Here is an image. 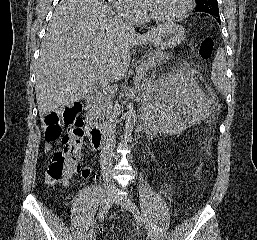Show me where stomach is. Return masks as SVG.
<instances>
[{
	"label": "stomach",
	"mask_w": 257,
	"mask_h": 240,
	"mask_svg": "<svg viewBox=\"0 0 257 240\" xmlns=\"http://www.w3.org/2000/svg\"><path fill=\"white\" fill-rule=\"evenodd\" d=\"M186 30L183 26L176 23H166L161 31L153 39L155 47L160 49L173 48L185 39Z\"/></svg>",
	"instance_id": "1"
}]
</instances>
